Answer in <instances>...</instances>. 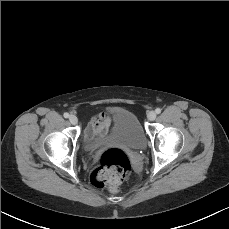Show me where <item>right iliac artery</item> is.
Listing matches in <instances>:
<instances>
[{"mask_svg":"<svg viewBox=\"0 0 229 229\" xmlns=\"http://www.w3.org/2000/svg\"><path fill=\"white\" fill-rule=\"evenodd\" d=\"M65 118H68L69 117V114L68 113H64L63 115Z\"/></svg>","mask_w":229,"mask_h":229,"instance_id":"1","label":"right iliac artery"}]
</instances>
